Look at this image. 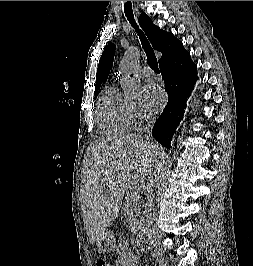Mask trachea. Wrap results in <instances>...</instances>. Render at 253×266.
Listing matches in <instances>:
<instances>
[{"label":"trachea","mask_w":253,"mask_h":266,"mask_svg":"<svg viewBox=\"0 0 253 266\" xmlns=\"http://www.w3.org/2000/svg\"><path fill=\"white\" fill-rule=\"evenodd\" d=\"M125 8V14L127 16V19L130 21V23L132 24V26L135 28L136 32L139 35V38L141 40V44H142V48L144 49L146 56H147V60H148V64L149 66L156 72V73H160V70L158 68V62H157V58L155 56V53L153 51V49L151 48L147 38L145 37V35L143 34V32L138 28L134 17H133V13H132V4L131 1H127L124 5Z\"/></svg>","instance_id":"trachea-1"}]
</instances>
